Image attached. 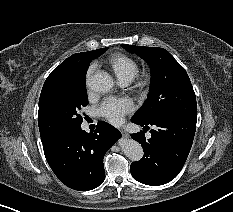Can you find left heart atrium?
Returning a JSON list of instances; mask_svg holds the SVG:
<instances>
[{"label": "left heart atrium", "instance_id": "left-heart-atrium-1", "mask_svg": "<svg viewBox=\"0 0 233 212\" xmlns=\"http://www.w3.org/2000/svg\"><path fill=\"white\" fill-rule=\"evenodd\" d=\"M133 109L134 105L129 99L108 98L101 104L99 112L111 123L120 124L124 116L132 112Z\"/></svg>", "mask_w": 233, "mask_h": 212}]
</instances>
